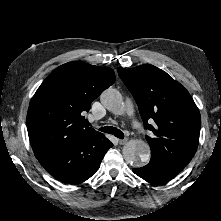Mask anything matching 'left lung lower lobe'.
<instances>
[{
    "label": "left lung lower lobe",
    "mask_w": 221,
    "mask_h": 221,
    "mask_svg": "<svg viewBox=\"0 0 221 221\" xmlns=\"http://www.w3.org/2000/svg\"><path fill=\"white\" fill-rule=\"evenodd\" d=\"M181 170L157 158H151L146 166L134 168L133 172L149 183L164 184L178 175Z\"/></svg>",
    "instance_id": "0a47b994"
}]
</instances>
